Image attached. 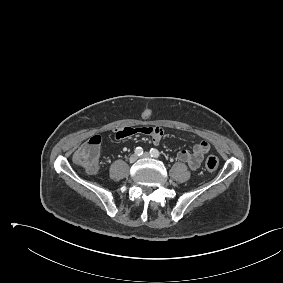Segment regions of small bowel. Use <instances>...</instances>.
<instances>
[{"mask_svg":"<svg viewBox=\"0 0 283 283\" xmlns=\"http://www.w3.org/2000/svg\"><path fill=\"white\" fill-rule=\"evenodd\" d=\"M135 134H145L152 138L154 144H158L163 136V129L157 126L152 127H121L114 130L115 139L121 140L133 136ZM210 150V144L202 140L195 144L191 150H180L177 158L181 162L187 164L190 169H197L203 161L204 155Z\"/></svg>","mask_w":283,"mask_h":283,"instance_id":"small-bowel-1","label":"small bowel"}]
</instances>
